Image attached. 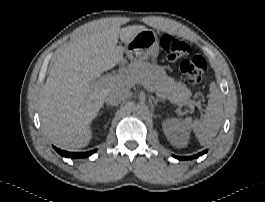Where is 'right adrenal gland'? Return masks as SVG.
Here are the masks:
<instances>
[{"label":"right adrenal gland","instance_id":"right-adrenal-gland-1","mask_svg":"<svg viewBox=\"0 0 265 202\" xmlns=\"http://www.w3.org/2000/svg\"><path fill=\"white\" fill-rule=\"evenodd\" d=\"M106 106H107V108H110V107H115L116 105L107 104Z\"/></svg>","mask_w":265,"mask_h":202}]
</instances>
